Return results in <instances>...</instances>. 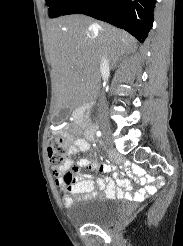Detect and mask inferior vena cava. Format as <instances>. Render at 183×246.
<instances>
[{
  "instance_id": "1",
  "label": "inferior vena cava",
  "mask_w": 183,
  "mask_h": 246,
  "mask_svg": "<svg viewBox=\"0 0 183 246\" xmlns=\"http://www.w3.org/2000/svg\"><path fill=\"white\" fill-rule=\"evenodd\" d=\"M109 71V59L107 56V53H103L101 57V63H100V72L103 75L104 73H107ZM99 107L104 109L106 108V99L103 93L99 95Z\"/></svg>"
}]
</instances>
